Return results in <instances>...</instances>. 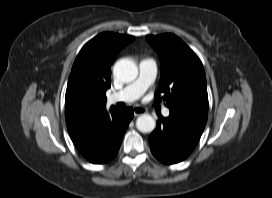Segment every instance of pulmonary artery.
Returning a JSON list of instances; mask_svg holds the SVG:
<instances>
[{"mask_svg":"<svg viewBox=\"0 0 272 198\" xmlns=\"http://www.w3.org/2000/svg\"><path fill=\"white\" fill-rule=\"evenodd\" d=\"M139 68L140 75L135 81L128 84L120 91L114 92L108 96V101L110 103L134 102L153 84L157 73L156 62L151 58L142 59L139 63ZM162 113L167 117L169 116L170 111L168 108H165Z\"/></svg>","mask_w":272,"mask_h":198,"instance_id":"e3ab8cb5","label":"pulmonary artery"}]
</instances>
